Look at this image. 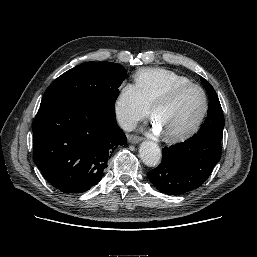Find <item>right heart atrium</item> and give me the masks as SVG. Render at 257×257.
<instances>
[{
	"mask_svg": "<svg viewBox=\"0 0 257 257\" xmlns=\"http://www.w3.org/2000/svg\"><path fill=\"white\" fill-rule=\"evenodd\" d=\"M147 104L141 90L135 83L123 84L115 100V113L124 128H130L148 114Z\"/></svg>",
	"mask_w": 257,
	"mask_h": 257,
	"instance_id": "d8ad5b80",
	"label": "right heart atrium"
}]
</instances>
